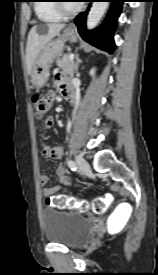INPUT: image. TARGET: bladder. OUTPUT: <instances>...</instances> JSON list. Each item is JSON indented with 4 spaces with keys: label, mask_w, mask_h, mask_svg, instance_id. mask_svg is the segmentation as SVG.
Returning a JSON list of instances; mask_svg holds the SVG:
<instances>
[{
    "label": "bladder",
    "mask_w": 158,
    "mask_h": 275,
    "mask_svg": "<svg viewBox=\"0 0 158 275\" xmlns=\"http://www.w3.org/2000/svg\"><path fill=\"white\" fill-rule=\"evenodd\" d=\"M44 238L67 247H78L92 234V223L84 215L45 208L42 212Z\"/></svg>",
    "instance_id": "obj_1"
}]
</instances>
